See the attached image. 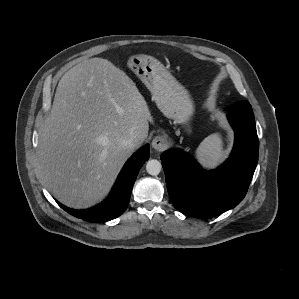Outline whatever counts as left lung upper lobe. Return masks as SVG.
I'll use <instances>...</instances> for the list:
<instances>
[{
  "instance_id": "obj_1",
  "label": "left lung upper lobe",
  "mask_w": 299,
  "mask_h": 299,
  "mask_svg": "<svg viewBox=\"0 0 299 299\" xmlns=\"http://www.w3.org/2000/svg\"><path fill=\"white\" fill-rule=\"evenodd\" d=\"M240 105L244 108L242 111H252L251 105L248 102L241 103ZM230 109H233V107H230Z\"/></svg>"
}]
</instances>
